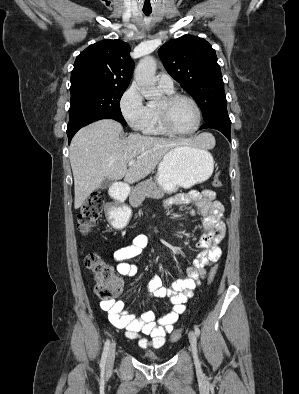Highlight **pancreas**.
<instances>
[{
    "label": "pancreas",
    "instance_id": "1",
    "mask_svg": "<svg viewBox=\"0 0 299 394\" xmlns=\"http://www.w3.org/2000/svg\"><path fill=\"white\" fill-rule=\"evenodd\" d=\"M164 196L163 190L151 179L139 183L132 192L130 199L131 205L136 206L141 203L146 197L162 198ZM138 197L139 201L136 203L135 199Z\"/></svg>",
    "mask_w": 299,
    "mask_h": 394
}]
</instances>
